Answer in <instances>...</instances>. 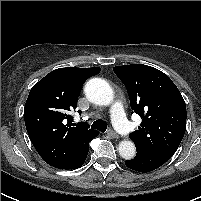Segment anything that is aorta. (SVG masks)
I'll use <instances>...</instances> for the list:
<instances>
[{"mask_svg":"<svg viewBox=\"0 0 201 201\" xmlns=\"http://www.w3.org/2000/svg\"><path fill=\"white\" fill-rule=\"evenodd\" d=\"M87 99L97 105L107 106L114 98L111 86L101 78L90 79L84 87ZM119 154L126 160L132 159L136 154V148L132 141L123 140L118 146Z\"/></svg>","mask_w":201,"mask_h":201,"instance_id":"1","label":"aorta"}]
</instances>
